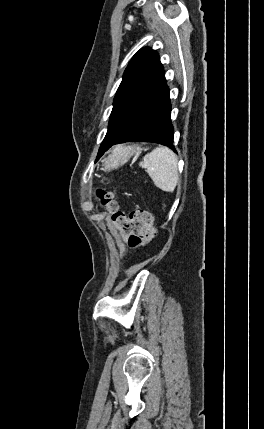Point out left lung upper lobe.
<instances>
[{
	"instance_id": "5c2ea615",
	"label": "left lung upper lobe",
	"mask_w": 264,
	"mask_h": 429,
	"mask_svg": "<svg viewBox=\"0 0 264 429\" xmlns=\"http://www.w3.org/2000/svg\"><path fill=\"white\" fill-rule=\"evenodd\" d=\"M163 77L164 69L156 51L146 47L133 56L115 95L108 131L99 150L107 147L121 135L139 103Z\"/></svg>"
}]
</instances>
